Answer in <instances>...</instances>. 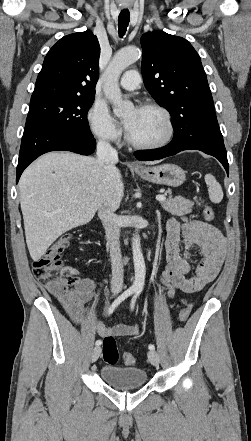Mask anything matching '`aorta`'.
Segmentation results:
<instances>
[{
  "label": "aorta",
  "mask_w": 251,
  "mask_h": 441,
  "mask_svg": "<svg viewBox=\"0 0 251 441\" xmlns=\"http://www.w3.org/2000/svg\"><path fill=\"white\" fill-rule=\"evenodd\" d=\"M141 56L137 48H126L118 51L112 58L105 71V83L103 91L105 96L113 105V112L117 117L126 115L132 108V102L122 99V93L119 88V77L121 73L132 63L136 62ZM133 263L135 269V278L133 288L142 290L145 283V262L140 245V236L138 229L132 238Z\"/></svg>",
  "instance_id": "1"
}]
</instances>
